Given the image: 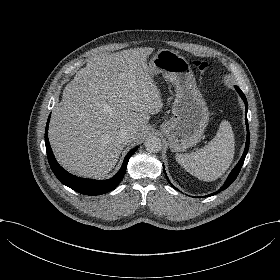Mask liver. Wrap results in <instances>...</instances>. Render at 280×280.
Wrapping results in <instances>:
<instances>
[{
	"instance_id": "obj_1",
	"label": "liver",
	"mask_w": 280,
	"mask_h": 280,
	"mask_svg": "<svg viewBox=\"0 0 280 280\" xmlns=\"http://www.w3.org/2000/svg\"><path fill=\"white\" fill-rule=\"evenodd\" d=\"M151 47L125 49L88 60L55 106L49 139L57 162L69 173L102 178L116 166L125 143L122 129L142 139L150 115L161 108L145 59Z\"/></svg>"
}]
</instances>
